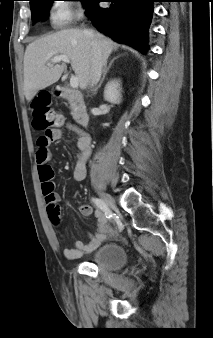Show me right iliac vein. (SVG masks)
I'll return each mask as SVG.
<instances>
[{"label":"right iliac vein","mask_w":213,"mask_h":338,"mask_svg":"<svg viewBox=\"0 0 213 338\" xmlns=\"http://www.w3.org/2000/svg\"><path fill=\"white\" fill-rule=\"evenodd\" d=\"M100 198L104 201V203H106L109 208H111L112 210H116L117 207L114 203V200L112 199V197L106 193H100Z\"/></svg>","instance_id":"right-iliac-vein-1"}]
</instances>
